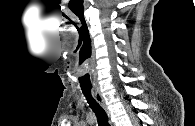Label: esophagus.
<instances>
[{
	"label": "esophagus",
	"instance_id": "esophagus-1",
	"mask_svg": "<svg viewBox=\"0 0 195 126\" xmlns=\"http://www.w3.org/2000/svg\"><path fill=\"white\" fill-rule=\"evenodd\" d=\"M92 94H93V97L95 98V100L103 107V109L106 111V113L109 116V110H108V107L105 103V100L102 96L100 89L98 87H94L92 89Z\"/></svg>",
	"mask_w": 195,
	"mask_h": 126
}]
</instances>
